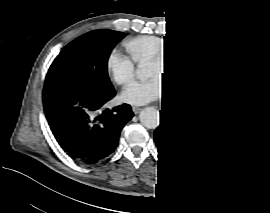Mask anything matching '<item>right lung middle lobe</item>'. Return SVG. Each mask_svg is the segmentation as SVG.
I'll use <instances>...</instances> for the list:
<instances>
[{
  "label": "right lung middle lobe",
  "instance_id": "dd1d6c3e",
  "mask_svg": "<svg viewBox=\"0 0 270 213\" xmlns=\"http://www.w3.org/2000/svg\"><path fill=\"white\" fill-rule=\"evenodd\" d=\"M125 36L113 30L90 31L66 45L51 64L45 83H83L113 90L107 61L114 46Z\"/></svg>",
  "mask_w": 270,
  "mask_h": 213
}]
</instances>
